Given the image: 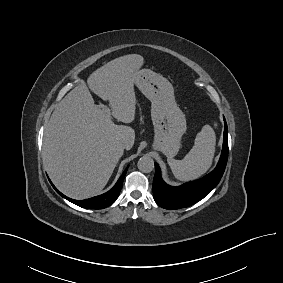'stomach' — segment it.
Segmentation results:
<instances>
[{
    "label": "stomach",
    "instance_id": "stomach-1",
    "mask_svg": "<svg viewBox=\"0 0 283 283\" xmlns=\"http://www.w3.org/2000/svg\"><path fill=\"white\" fill-rule=\"evenodd\" d=\"M135 84L151 101V117L155 132L154 149L169 158L175 156L187 127L185 114L175 101L172 84L149 69L138 71Z\"/></svg>",
    "mask_w": 283,
    "mask_h": 283
}]
</instances>
